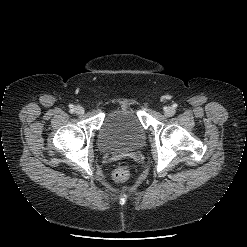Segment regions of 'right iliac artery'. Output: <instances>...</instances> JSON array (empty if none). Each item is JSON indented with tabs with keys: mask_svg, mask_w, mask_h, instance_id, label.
<instances>
[{
	"mask_svg": "<svg viewBox=\"0 0 247 247\" xmlns=\"http://www.w3.org/2000/svg\"><path fill=\"white\" fill-rule=\"evenodd\" d=\"M70 110L73 112L74 111V106L73 105H70Z\"/></svg>",
	"mask_w": 247,
	"mask_h": 247,
	"instance_id": "82829eb1",
	"label": "right iliac artery"
}]
</instances>
